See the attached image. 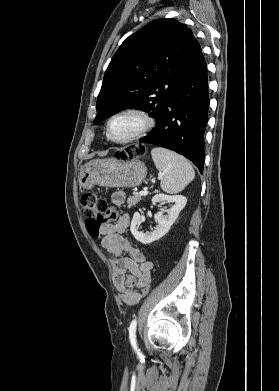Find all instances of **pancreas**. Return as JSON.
I'll list each match as a JSON object with an SVG mask.
<instances>
[{
  "mask_svg": "<svg viewBox=\"0 0 279 391\" xmlns=\"http://www.w3.org/2000/svg\"><path fill=\"white\" fill-rule=\"evenodd\" d=\"M141 199L142 196L139 193L134 192L133 195L130 196L127 200L128 207L135 206Z\"/></svg>",
  "mask_w": 279,
  "mask_h": 391,
  "instance_id": "1",
  "label": "pancreas"
}]
</instances>
